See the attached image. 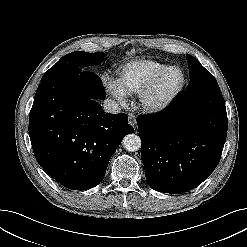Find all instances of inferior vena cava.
<instances>
[{"mask_svg": "<svg viewBox=\"0 0 247 247\" xmlns=\"http://www.w3.org/2000/svg\"><path fill=\"white\" fill-rule=\"evenodd\" d=\"M103 109L107 113L117 114L121 112V107L115 100L106 99L103 102Z\"/></svg>", "mask_w": 247, "mask_h": 247, "instance_id": "inferior-vena-cava-1", "label": "inferior vena cava"}]
</instances>
